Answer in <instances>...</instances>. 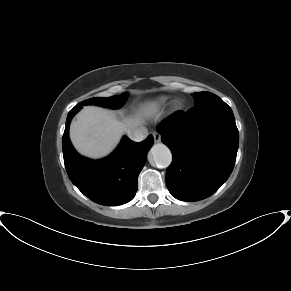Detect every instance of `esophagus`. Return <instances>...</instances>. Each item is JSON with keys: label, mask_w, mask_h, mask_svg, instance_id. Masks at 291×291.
<instances>
[{"label": "esophagus", "mask_w": 291, "mask_h": 291, "mask_svg": "<svg viewBox=\"0 0 291 291\" xmlns=\"http://www.w3.org/2000/svg\"><path fill=\"white\" fill-rule=\"evenodd\" d=\"M152 135H153L155 143H159L161 141V137L158 133L153 132Z\"/></svg>", "instance_id": "obj_1"}]
</instances>
